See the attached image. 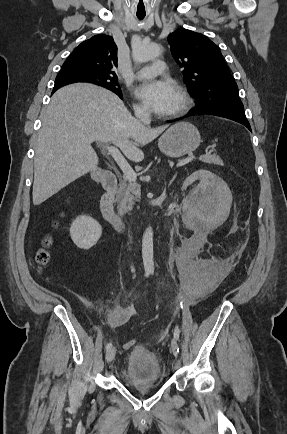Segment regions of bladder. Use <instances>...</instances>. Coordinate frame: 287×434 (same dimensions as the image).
<instances>
[{
	"instance_id": "obj_1",
	"label": "bladder",
	"mask_w": 287,
	"mask_h": 434,
	"mask_svg": "<svg viewBox=\"0 0 287 434\" xmlns=\"http://www.w3.org/2000/svg\"><path fill=\"white\" fill-rule=\"evenodd\" d=\"M124 384L139 388L158 385L163 379L158 359L149 353H132L120 371Z\"/></svg>"
}]
</instances>
